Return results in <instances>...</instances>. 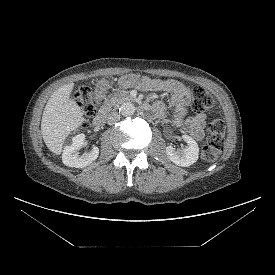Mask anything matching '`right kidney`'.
<instances>
[{"instance_id":"right-kidney-1","label":"right kidney","mask_w":275,"mask_h":275,"mask_svg":"<svg viewBox=\"0 0 275 275\" xmlns=\"http://www.w3.org/2000/svg\"><path fill=\"white\" fill-rule=\"evenodd\" d=\"M85 135L78 134L72 138V144L65 146L62 154V162L69 167L84 168L94 162L99 155V148L93 149L79 157L78 150L84 145Z\"/></svg>"}]
</instances>
